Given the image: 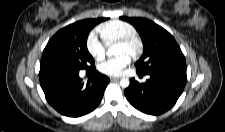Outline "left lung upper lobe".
<instances>
[{"instance_id":"obj_1","label":"left lung upper lobe","mask_w":225,"mask_h":132,"mask_svg":"<svg viewBox=\"0 0 225 132\" xmlns=\"http://www.w3.org/2000/svg\"><path fill=\"white\" fill-rule=\"evenodd\" d=\"M120 19L131 23L140 34L144 50L136 62V71L149 74L156 70H186L185 57L173 36L145 18Z\"/></svg>"}]
</instances>
